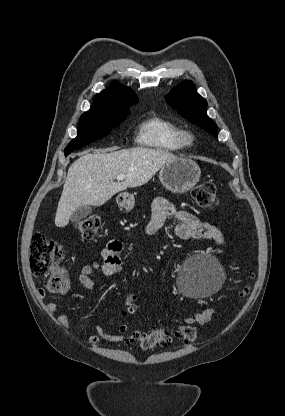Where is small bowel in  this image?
Wrapping results in <instances>:
<instances>
[{"mask_svg":"<svg viewBox=\"0 0 285 416\" xmlns=\"http://www.w3.org/2000/svg\"><path fill=\"white\" fill-rule=\"evenodd\" d=\"M167 218H174L178 223L174 227V234L183 240H210L218 245L225 242L223 233L214 225L203 222L190 212L178 210L174 205L162 197H158L153 202L152 216L146 226L147 233H155L165 223ZM123 251L121 241L110 240L102 249L101 261L85 264L82 266L78 276V282L88 291H93L95 283L92 279L96 272L105 276H113L121 272L122 261L120 255ZM70 290V282L67 280L64 287L59 291V295L64 296ZM46 292L39 289V296L44 297ZM48 312L56 317L60 326L70 329V320L66 315L60 314V308L57 303L50 302L47 304ZM214 314L213 308H206L202 312L188 316L184 322L189 325L203 326L207 324ZM80 336L90 344H97L100 340L111 342H120L125 338L121 334L109 333L103 326H96L93 332L82 331Z\"/></svg>","mask_w":285,"mask_h":416,"instance_id":"obj_1","label":"small bowel"}]
</instances>
